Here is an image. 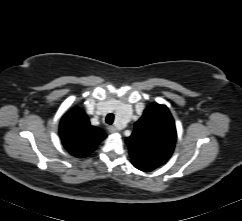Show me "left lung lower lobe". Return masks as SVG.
<instances>
[{
	"label": "left lung lower lobe",
	"instance_id": "left-lung-lower-lobe-1",
	"mask_svg": "<svg viewBox=\"0 0 242 221\" xmlns=\"http://www.w3.org/2000/svg\"><path fill=\"white\" fill-rule=\"evenodd\" d=\"M137 169L141 170V171H152L153 169L157 168L151 165H137V164H133Z\"/></svg>",
	"mask_w": 242,
	"mask_h": 221
}]
</instances>
